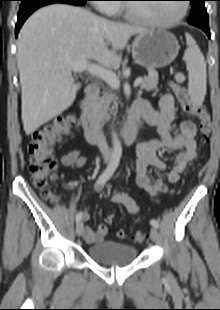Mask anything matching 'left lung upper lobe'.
Returning <instances> with one entry per match:
<instances>
[{
    "label": "left lung upper lobe",
    "instance_id": "5c2ea615",
    "mask_svg": "<svg viewBox=\"0 0 220 310\" xmlns=\"http://www.w3.org/2000/svg\"><path fill=\"white\" fill-rule=\"evenodd\" d=\"M192 5V11L188 18V23L199 28H209L208 14L204 7L206 0H189Z\"/></svg>",
    "mask_w": 220,
    "mask_h": 310
}]
</instances>
